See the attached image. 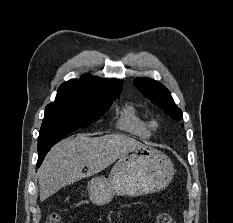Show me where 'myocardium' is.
<instances>
[{
	"label": "myocardium",
	"instance_id": "1",
	"mask_svg": "<svg viewBox=\"0 0 233 223\" xmlns=\"http://www.w3.org/2000/svg\"><path fill=\"white\" fill-rule=\"evenodd\" d=\"M150 127H151L152 129H154V130H157V129H159V127H160V123H159L158 121H152V122L150 123Z\"/></svg>",
	"mask_w": 233,
	"mask_h": 223
}]
</instances>
